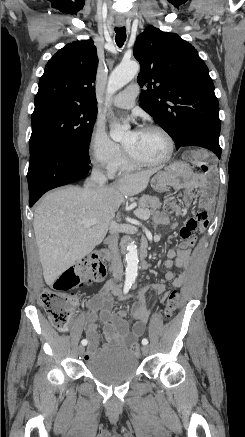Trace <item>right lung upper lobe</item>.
Returning a JSON list of instances; mask_svg holds the SVG:
<instances>
[{"label": "right lung upper lobe", "instance_id": "1", "mask_svg": "<svg viewBox=\"0 0 245 437\" xmlns=\"http://www.w3.org/2000/svg\"><path fill=\"white\" fill-rule=\"evenodd\" d=\"M97 65V50L91 39L67 44L46 64L35 106L63 103L97 109L94 86Z\"/></svg>", "mask_w": 245, "mask_h": 437}]
</instances>
